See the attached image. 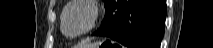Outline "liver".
Wrapping results in <instances>:
<instances>
[{
	"instance_id": "1",
	"label": "liver",
	"mask_w": 213,
	"mask_h": 48,
	"mask_svg": "<svg viewBox=\"0 0 213 48\" xmlns=\"http://www.w3.org/2000/svg\"><path fill=\"white\" fill-rule=\"evenodd\" d=\"M91 44H86L85 42H83L82 46L85 47V46H90Z\"/></svg>"
}]
</instances>
